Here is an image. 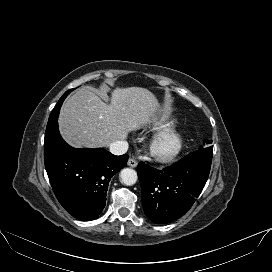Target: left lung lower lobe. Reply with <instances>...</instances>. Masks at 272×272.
I'll use <instances>...</instances> for the list:
<instances>
[{
	"instance_id": "obj_1",
	"label": "left lung lower lobe",
	"mask_w": 272,
	"mask_h": 272,
	"mask_svg": "<svg viewBox=\"0 0 272 272\" xmlns=\"http://www.w3.org/2000/svg\"><path fill=\"white\" fill-rule=\"evenodd\" d=\"M213 147L200 148L163 170L140 162L137 174L141 184L142 206L156 224L183 216L202 192L210 173Z\"/></svg>"
}]
</instances>
